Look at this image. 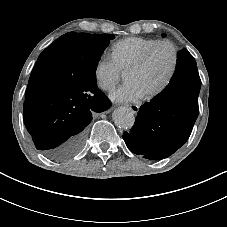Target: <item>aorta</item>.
Masks as SVG:
<instances>
[{"label": "aorta", "instance_id": "obj_1", "mask_svg": "<svg viewBox=\"0 0 227 227\" xmlns=\"http://www.w3.org/2000/svg\"><path fill=\"white\" fill-rule=\"evenodd\" d=\"M113 121L119 128L130 129L134 125L135 116L130 108L119 107L113 112Z\"/></svg>", "mask_w": 227, "mask_h": 227}]
</instances>
